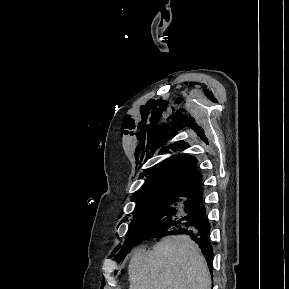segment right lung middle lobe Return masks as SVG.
Instances as JSON below:
<instances>
[{"instance_id": "obj_1", "label": "right lung middle lobe", "mask_w": 289, "mask_h": 289, "mask_svg": "<svg viewBox=\"0 0 289 289\" xmlns=\"http://www.w3.org/2000/svg\"><path fill=\"white\" fill-rule=\"evenodd\" d=\"M132 224L117 258L132 245L152 236L161 237L180 228L199 204L198 196L158 195L137 200Z\"/></svg>"}]
</instances>
